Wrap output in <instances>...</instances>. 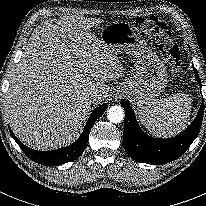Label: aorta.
Listing matches in <instances>:
<instances>
[{
	"label": "aorta",
	"instance_id": "762f6f07",
	"mask_svg": "<svg viewBox=\"0 0 206 206\" xmlns=\"http://www.w3.org/2000/svg\"><path fill=\"white\" fill-rule=\"evenodd\" d=\"M107 118L112 123H120L124 119V110L121 106H112L107 112Z\"/></svg>",
	"mask_w": 206,
	"mask_h": 206
}]
</instances>
